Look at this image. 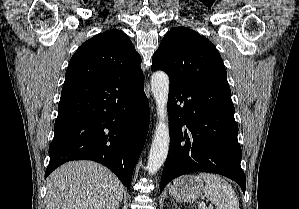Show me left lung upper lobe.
I'll list each match as a JSON object with an SVG mask.
<instances>
[{
  "instance_id": "5c2ea615",
  "label": "left lung upper lobe",
  "mask_w": 299,
  "mask_h": 209,
  "mask_svg": "<svg viewBox=\"0 0 299 209\" xmlns=\"http://www.w3.org/2000/svg\"><path fill=\"white\" fill-rule=\"evenodd\" d=\"M153 71L163 70L170 82L212 83L229 87L222 58L197 32L175 27L166 33L152 58Z\"/></svg>"
}]
</instances>
